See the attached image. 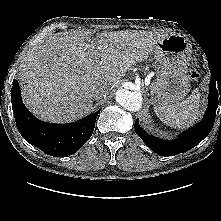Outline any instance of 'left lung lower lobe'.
Listing matches in <instances>:
<instances>
[{"label": "left lung lower lobe", "mask_w": 221, "mask_h": 221, "mask_svg": "<svg viewBox=\"0 0 221 221\" xmlns=\"http://www.w3.org/2000/svg\"><path fill=\"white\" fill-rule=\"evenodd\" d=\"M217 84L215 76L212 73L209 85L208 107L202 121L182 133L178 139L164 141L156 138L140 128L138 122L135 123L136 134L153 152L160 156H174L192 149L207 137L213 127L218 104H221V85L220 83Z\"/></svg>", "instance_id": "left-lung-lower-lobe-1"}]
</instances>
